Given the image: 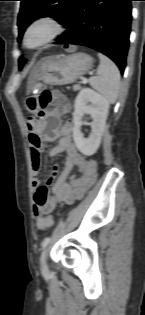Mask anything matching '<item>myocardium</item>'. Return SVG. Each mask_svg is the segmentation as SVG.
Returning <instances> with one entry per match:
<instances>
[{
    "label": "myocardium",
    "instance_id": "1",
    "mask_svg": "<svg viewBox=\"0 0 145 315\" xmlns=\"http://www.w3.org/2000/svg\"><path fill=\"white\" fill-rule=\"evenodd\" d=\"M38 27H45L47 29V32L45 36L42 38V40L35 44L30 45L28 42V37L31 31ZM62 33V26L60 22L49 15H43L34 18L26 27L23 35V44L28 49H39L42 48L49 43H51L53 40H55L60 34Z\"/></svg>",
    "mask_w": 145,
    "mask_h": 315
}]
</instances>
